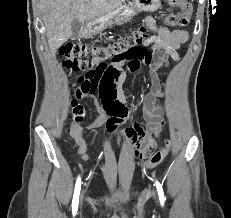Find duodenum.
<instances>
[{
    "label": "duodenum",
    "mask_w": 231,
    "mask_h": 218,
    "mask_svg": "<svg viewBox=\"0 0 231 218\" xmlns=\"http://www.w3.org/2000/svg\"><path fill=\"white\" fill-rule=\"evenodd\" d=\"M94 26H95V23H94V22H89L88 25H87L86 30H87V31H92L93 28H94Z\"/></svg>",
    "instance_id": "duodenum-1"
}]
</instances>
